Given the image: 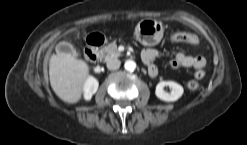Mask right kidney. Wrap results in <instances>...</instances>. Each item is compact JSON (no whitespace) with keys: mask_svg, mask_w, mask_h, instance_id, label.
<instances>
[{"mask_svg":"<svg viewBox=\"0 0 247 145\" xmlns=\"http://www.w3.org/2000/svg\"><path fill=\"white\" fill-rule=\"evenodd\" d=\"M98 85L99 83L94 77L87 78L83 88L85 100H90L92 98L93 94H95L98 89Z\"/></svg>","mask_w":247,"mask_h":145,"instance_id":"right-kidney-1","label":"right kidney"}]
</instances>
